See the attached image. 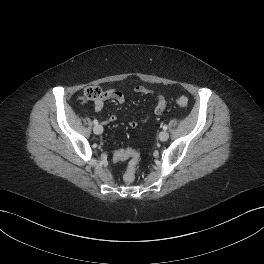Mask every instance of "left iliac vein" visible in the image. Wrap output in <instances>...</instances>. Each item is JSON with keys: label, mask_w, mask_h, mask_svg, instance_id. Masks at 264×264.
I'll use <instances>...</instances> for the list:
<instances>
[{"label": "left iliac vein", "mask_w": 264, "mask_h": 264, "mask_svg": "<svg viewBox=\"0 0 264 264\" xmlns=\"http://www.w3.org/2000/svg\"><path fill=\"white\" fill-rule=\"evenodd\" d=\"M169 138V133L167 131H162L159 133V139L161 141H166Z\"/></svg>", "instance_id": "4c4485c4"}]
</instances>
